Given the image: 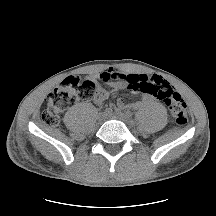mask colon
Returning a JSON list of instances; mask_svg holds the SVG:
<instances>
[{"instance_id": "colon-1", "label": "colon", "mask_w": 216, "mask_h": 216, "mask_svg": "<svg viewBox=\"0 0 216 216\" xmlns=\"http://www.w3.org/2000/svg\"><path fill=\"white\" fill-rule=\"evenodd\" d=\"M97 83L90 78L69 76L54 88L48 95L46 107L42 113V120L48 125H56L61 113L72 107L80 100L92 98L97 91ZM133 89L147 91L162 99L176 122L183 128L188 122L187 105L182 96L167 82L153 83L134 82Z\"/></svg>"}]
</instances>
